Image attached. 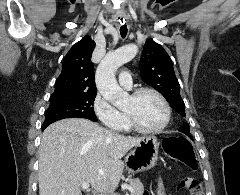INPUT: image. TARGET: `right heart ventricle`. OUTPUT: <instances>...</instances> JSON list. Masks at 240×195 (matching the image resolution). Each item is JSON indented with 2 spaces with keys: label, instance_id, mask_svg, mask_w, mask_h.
Segmentation results:
<instances>
[{
  "label": "right heart ventricle",
  "instance_id": "obj_1",
  "mask_svg": "<svg viewBox=\"0 0 240 195\" xmlns=\"http://www.w3.org/2000/svg\"><path fill=\"white\" fill-rule=\"evenodd\" d=\"M121 116H122V123L118 130H126L128 128V125L126 123L125 116L124 114H121Z\"/></svg>",
  "mask_w": 240,
  "mask_h": 195
}]
</instances>
